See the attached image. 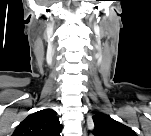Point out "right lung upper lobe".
Here are the masks:
<instances>
[{
	"label": "right lung upper lobe",
	"mask_w": 151,
	"mask_h": 136,
	"mask_svg": "<svg viewBox=\"0 0 151 136\" xmlns=\"http://www.w3.org/2000/svg\"><path fill=\"white\" fill-rule=\"evenodd\" d=\"M62 126L52 109L27 116L15 129L14 136H60Z\"/></svg>",
	"instance_id": "1"
}]
</instances>
